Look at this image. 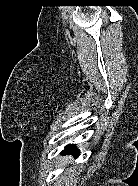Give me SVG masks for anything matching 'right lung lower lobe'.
<instances>
[{"mask_svg": "<svg viewBox=\"0 0 138 186\" xmlns=\"http://www.w3.org/2000/svg\"><path fill=\"white\" fill-rule=\"evenodd\" d=\"M63 154H72L75 157L79 155V150L76 148L75 145L69 144L65 147V149L62 152Z\"/></svg>", "mask_w": 138, "mask_h": 186, "instance_id": "right-lung-lower-lobe-1", "label": "right lung lower lobe"}]
</instances>
